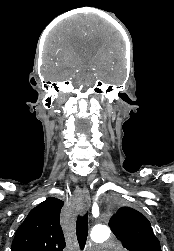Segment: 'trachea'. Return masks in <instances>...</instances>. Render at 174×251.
<instances>
[{"mask_svg":"<svg viewBox=\"0 0 174 251\" xmlns=\"http://www.w3.org/2000/svg\"><path fill=\"white\" fill-rule=\"evenodd\" d=\"M76 234L81 249H84L88 236V212L77 219Z\"/></svg>","mask_w":174,"mask_h":251,"instance_id":"trachea-1","label":"trachea"}]
</instances>
